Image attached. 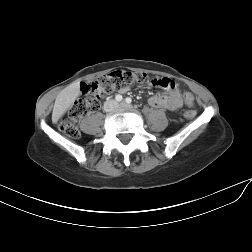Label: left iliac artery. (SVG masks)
I'll return each instance as SVG.
<instances>
[{"instance_id":"left-iliac-artery-1","label":"left iliac artery","mask_w":252,"mask_h":252,"mask_svg":"<svg viewBox=\"0 0 252 252\" xmlns=\"http://www.w3.org/2000/svg\"><path fill=\"white\" fill-rule=\"evenodd\" d=\"M125 102H126L127 104H130V103L132 102V99L129 98V97H127V98L125 99Z\"/></svg>"}]
</instances>
